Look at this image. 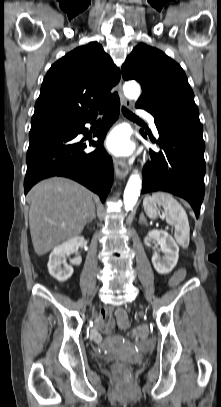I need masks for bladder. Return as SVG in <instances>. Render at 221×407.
<instances>
[{
	"mask_svg": "<svg viewBox=\"0 0 221 407\" xmlns=\"http://www.w3.org/2000/svg\"><path fill=\"white\" fill-rule=\"evenodd\" d=\"M122 345H123V342L121 339L116 338V337L110 338L107 341L106 351L109 353H113V352L117 351L119 349V347Z\"/></svg>",
	"mask_w": 221,
	"mask_h": 407,
	"instance_id": "obj_1",
	"label": "bladder"
}]
</instances>
